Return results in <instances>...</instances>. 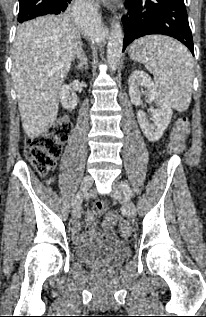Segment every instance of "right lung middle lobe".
I'll list each match as a JSON object with an SVG mask.
<instances>
[{
    "instance_id": "dd1d6c3e",
    "label": "right lung middle lobe",
    "mask_w": 206,
    "mask_h": 317,
    "mask_svg": "<svg viewBox=\"0 0 206 317\" xmlns=\"http://www.w3.org/2000/svg\"><path fill=\"white\" fill-rule=\"evenodd\" d=\"M57 0H19V23L46 14H59L61 9L56 7ZM69 5V4H68Z\"/></svg>"
}]
</instances>
